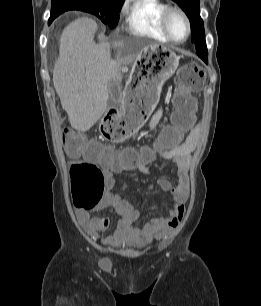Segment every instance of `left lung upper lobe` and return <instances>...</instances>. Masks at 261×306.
Returning <instances> with one entry per match:
<instances>
[{
    "label": "left lung upper lobe",
    "instance_id": "5c2ea615",
    "mask_svg": "<svg viewBox=\"0 0 261 306\" xmlns=\"http://www.w3.org/2000/svg\"><path fill=\"white\" fill-rule=\"evenodd\" d=\"M186 13L190 20L192 42L195 44L198 56L208 63V52L204 34V24L200 17L199 0H173Z\"/></svg>",
    "mask_w": 261,
    "mask_h": 306
}]
</instances>
